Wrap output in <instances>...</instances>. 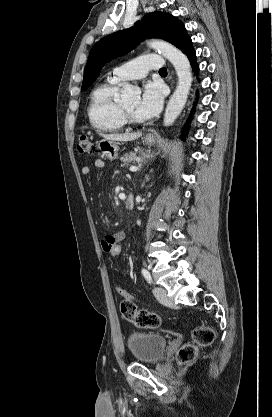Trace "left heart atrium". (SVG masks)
<instances>
[{"label": "left heart atrium", "mask_w": 272, "mask_h": 417, "mask_svg": "<svg viewBox=\"0 0 272 417\" xmlns=\"http://www.w3.org/2000/svg\"><path fill=\"white\" fill-rule=\"evenodd\" d=\"M164 91L157 82H148L143 87L139 105L136 108V115L139 118L147 119L155 116L162 108Z\"/></svg>", "instance_id": "obj_1"}]
</instances>
